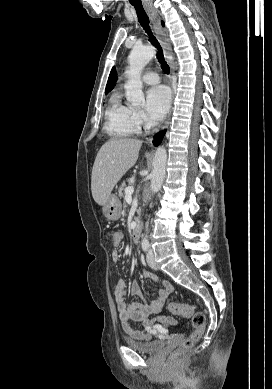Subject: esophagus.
I'll return each mask as SVG.
<instances>
[{
  "label": "esophagus",
  "instance_id": "34e87169",
  "mask_svg": "<svg viewBox=\"0 0 272 389\" xmlns=\"http://www.w3.org/2000/svg\"><path fill=\"white\" fill-rule=\"evenodd\" d=\"M147 11H148V14L152 20V23H153V28H154V31L156 33V36L164 50V54L165 56L168 58V55L170 54L171 52V46H170V43H169V40L167 38V34H166V30L164 27H162L161 25V19L157 13V11H155L154 9L148 7L147 8ZM169 62V65H170V70H171V75H173L174 73V66L172 64V62L170 60H168ZM172 98H174V90H173V95H172ZM170 116H171V111L168 115V118L165 122V125H164V128L168 125L169 123V120H170ZM151 139L148 140V144L151 143Z\"/></svg>",
  "mask_w": 272,
  "mask_h": 389
}]
</instances>
